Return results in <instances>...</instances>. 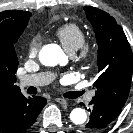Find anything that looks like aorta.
I'll use <instances>...</instances> for the list:
<instances>
[{
    "label": "aorta",
    "mask_w": 133,
    "mask_h": 133,
    "mask_svg": "<svg viewBox=\"0 0 133 133\" xmlns=\"http://www.w3.org/2000/svg\"><path fill=\"white\" fill-rule=\"evenodd\" d=\"M39 60L45 66H55L66 61L62 49L56 44L44 46L39 53ZM70 119L75 125H82L87 120V114L82 108H75L70 113Z\"/></svg>",
    "instance_id": "762f6f07"
}]
</instances>
